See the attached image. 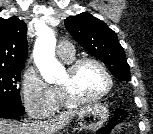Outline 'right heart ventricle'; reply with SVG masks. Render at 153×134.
I'll return each instance as SVG.
<instances>
[{
    "label": "right heart ventricle",
    "mask_w": 153,
    "mask_h": 134,
    "mask_svg": "<svg viewBox=\"0 0 153 134\" xmlns=\"http://www.w3.org/2000/svg\"><path fill=\"white\" fill-rule=\"evenodd\" d=\"M73 60L70 59V60H65L66 62H71ZM56 89V99H57V106L59 105H67V103L64 101V99L62 98V95L59 91V89L55 88Z\"/></svg>",
    "instance_id": "obj_1"
}]
</instances>
